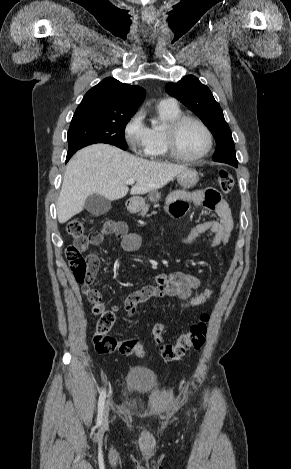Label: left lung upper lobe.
Masks as SVG:
<instances>
[{"instance_id": "5c2ea615", "label": "left lung upper lobe", "mask_w": 291, "mask_h": 469, "mask_svg": "<svg viewBox=\"0 0 291 469\" xmlns=\"http://www.w3.org/2000/svg\"><path fill=\"white\" fill-rule=\"evenodd\" d=\"M166 92L177 98L198 115L216 140L213 160L233 166L238 165L232 134L220 105L215 101L210 89L197 77L188 75L177 83H169Z\"/></svg>"}]
</instances>
